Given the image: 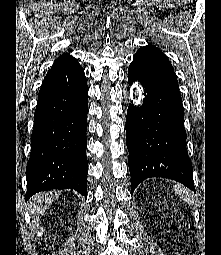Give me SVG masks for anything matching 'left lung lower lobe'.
<instances>
[{
  "mask_svg": "<svg viewBox=\"0 0 221 255\" xmlns=\"http://www.w3.org/2000/svg\"><path fill=\"white\" fill-rule=\"evenodd\" d=\"M128 80L130 85L138 80L145 95L140 108L130 104L127 110L131 193L150 177L176 180L195 192L182 99L171 63L158 48L141 47L129 66Z\"/></svg>",
  "mask_w": 221,
  "mask_h": 255,
  "instance_id": "left-lung-lower-lobe-1",
  "label": "left lung lower lobe"
}]
</instances>
